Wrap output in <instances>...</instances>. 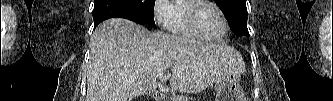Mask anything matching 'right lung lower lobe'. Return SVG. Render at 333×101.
Returning <instances> with one entry per match:
<instances>
[{"mask_svg":"<svg viewBox=\"0 0 333 101\" xmlns=\"http://www.w3.org/2000/svg\"><path fill=\"white\" fill-rule=\"evenodd\" d=\"M92 14L94 28L102 21L114 17L125 18L143 24L139 14L128 0H95Z\"/></svg>","mask_w":333,"mask_h":101,"instance_id":"1","label":"right lung lower lobe"}]
</instances>
